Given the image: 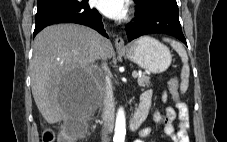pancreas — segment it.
I'll use <instances>...</instances> for the list:
<instances>
[{
	"label": "pancreas",
	"mask_w": 227,
	"mask_h": 142,
	"mask_svg": "<svg viewBox=\"0 0 227 142\" xmlns=\"http://www.w3.org/2000/svg\"><path fill=\"white\" fill-rule=\"evenodd\" d=\"M137 81H138V85L141 87L149 86L150 77L145 74H142V75L138 76Z\"/></svg>",
	"instance_id": "1"
}]
</instances>
